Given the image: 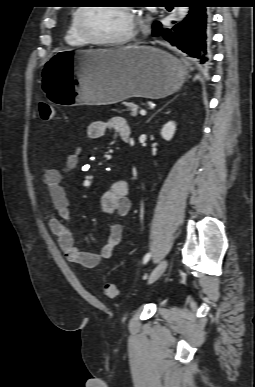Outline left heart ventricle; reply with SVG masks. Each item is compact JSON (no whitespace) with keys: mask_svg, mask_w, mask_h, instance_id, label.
Here are the masks:
<instances>
[{"mask_svg":"<svg viewBox=\"0 0 255 387\" xmlns=\"http://www.w3.org/2000/svg\"><path fill=\"white\" fill-rule=\"evenodd\" d=\"M88 31L99 39H118L133 27V19L120 7H92L84 15Z\"/></svg>","mask_w":255,"mask_h":387,"instance_id":"1","label":"left heart ventricle"}]
</instances>
